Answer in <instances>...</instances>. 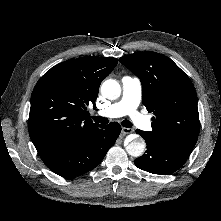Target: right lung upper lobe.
<instances>
[{"label": "right lung upper lobe", "mask_w": 221, "mask_h": 221, "mask_svg": "<svg viewBox=\"0 0 221 221\" xmlns=\"http://www.w3.org/2000/svg\"><path fill=\"white\" fill-rule=\"evenodd\" d=\"M117 63L112 57H81L52 67L39 79L31 96L28 130L40 156L100 126L88 117L87 106L96 107L100 84Z\"/></svg>", "instance_id": "cb5924a9"}]
</instances>
